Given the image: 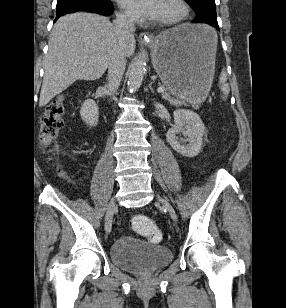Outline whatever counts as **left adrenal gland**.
Listing matches in <instances>:
<instances>
[{
  "label": "left adrenal gland",
  "instance_id": "1",
  "mask_svg": "<svg viewBox=\"0 0 286 308\" xmlns=\"http://www.w3.org/2000/svg\"><path fill=\"white\" fill-rule=\"evenodd\" d=\"M149 88H150V90L152 91V93H155V92H154V89L152 88V82L149 84Z\"/></svg>",
  "mask_w": 286,
  "mask_h": 308
}]
</instances>
